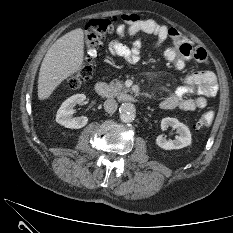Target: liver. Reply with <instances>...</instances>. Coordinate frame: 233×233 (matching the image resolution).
<instances>
[{"label": "liver", "instance_id": "6515ba94", "mask_svg": "<svg viewBox=\"0 0 233 233\" xmlns=\"http://www.w3.org/2000/svg\"><path fill=\"white\" fill-rule=\"evenodd\" d=\"M84 61V31L72 30L47 51L39 72L38 98L45 100L69 76L78 72Z\"/></svg>", "mask_w": 233, "mask_h": 233}]
</instances>
